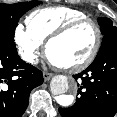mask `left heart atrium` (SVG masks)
Masks as SVG:
<instances>
[{
    "label": "left heart atrium",
    "instance_id": "39dd6f15",
    "mask_svg": "<svg viewBox=\"0 0 117 117\" xmlns=\"http://www.w3.org/2000/svg\"><path fill=\"white\" fill-rule=\"evenodd\" d=\"M50 63H51L52 65H54V66L56 65V64H54L51 60H50Z\"/></svg>",
    "mask_w": 117,
    "mask_h": 117
}]
</instances>
